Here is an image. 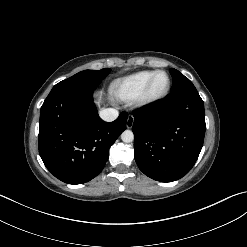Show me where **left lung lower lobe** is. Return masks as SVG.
I'll use <instances>...</instances> for the list:
<instances>
[{
    "mask_svg": "<svg viewBox=\"0 0 247 247\" xmlns=\"http://www.w3.org/2000/svg\"><path fill=\"white\" fill-rule=\"evenodd\" d=\"M133 115L139 169L160 182L186 175L199 156L206 129L204 103L198 92L170 94Z\"/></svg>",
    "mask_w": 247,
    "mask_h": 247,
    "instance_id": "1",
    "label": "left lung lower lobe"
}]
</instances>
